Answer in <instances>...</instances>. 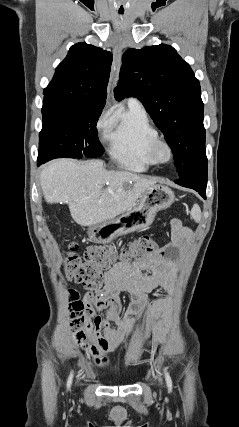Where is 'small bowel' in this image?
<instances>
[{
  "instance_id": "c3829d8e",
  "label": "small bowel",
  "mask_w": 239,
  "mask_h": 427,
  "mask_svg": "<svg viewBox=\"0 0 239 427\" xmlns=\"http://www.w3.org/2000/svg\"><path fill=\"white\" fill-rule=\"evenodd\" d=\"M172 226V241L169 244L136 258L133 264L129 261L117 262L106 271L103 285L94 294L87 295V301L97 309L108 310L105 318L96 316L93 326L87 328L93 344V362L97 366L105 367L108 364V355L127 340L137 321L167 318L170 299L162 297L150 303L147 294L159 287L172 289L178 251L190 239L189 231L182 227L179 220H173ZM121 291L131 296L123 317V307L118 297ZM111 322L117 328H113Z\"/></svg>"
}]
</instances>
